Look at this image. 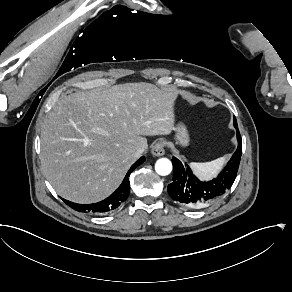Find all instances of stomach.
Returning a JSON list of instances; mask_svg holds the SVG:
<instances>
[{
  "label": "stomach",
  "mask_w": 292,
  "mask_h": 292,
  "mask_svg": "<svg viewBox=\"0 0 292 292\" xmlns=\"http://www.w3.org/2000/svg\"><path fill=\"white\" fill-rule=\"evenodd\" d=\"M178 130V139L182 142V143H186L187 142V134L185 132V128L183 126H179L177 128Z\"/></svg>",
  "instance_id": "obj_1"
}]
</instances>
